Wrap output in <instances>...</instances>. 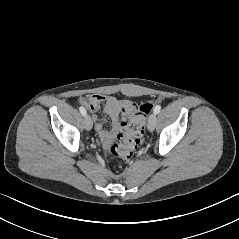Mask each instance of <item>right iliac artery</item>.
Here are the masks:
<instances>
[{"label": "right iliac artery", "mask_w": 239, "mask_h": 239, "mask_svg": "<svg viewBox=\"0 0 239 239\" xmlns=\"http://www.w3.org/2000/svg\"><path fill=\"white\" fill-rule=\"evenodd\" d=\"M79 110H80V113L83 115V116H86V114H87V112H86V110H85V108L84 107H79Z\"/></svg>", "instance_id": "1"}]
</instances>
